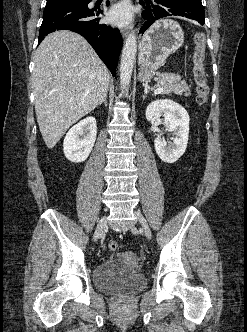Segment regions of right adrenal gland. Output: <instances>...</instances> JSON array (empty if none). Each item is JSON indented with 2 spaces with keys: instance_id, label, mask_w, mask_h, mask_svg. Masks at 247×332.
Masks as SVG:
<instances>
[{
  "instance_id": "obj_1",
  "label": "right adrenal gland",
  "mask_w": 247,
  "mask_h": 332,
  "mask_svg": "<svg viewBox=\"0 0 247 332\" xmlns=\"http://www.w3.org/2000/svg\"><path fill=\"white\" fill-rule=\"evenodd\" d=\"M103 103L105 106H107V95L104 97V99L102 100V102L99 105H101Z\"/></svg>"
}]
</instances>
